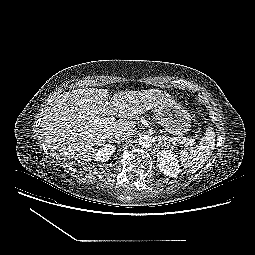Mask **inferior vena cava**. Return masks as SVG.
Listing matches in <instances>:
<instances>
[{"label":"inferior vena cava","mask_w":255,"mask_h":255,"mask_svg":"<svg viewBox=\"0 0 255 255\" xmlns=\"http://www.w3.org/2000/svg\"><path fill=\"white\" fill-rule=\"evenodd\" d=\"M134 130L131 128H125L118 130L115 133V138L119 141L129 140L133 136Z\"/></svg>","instance_id":"602c4592"}]
</instances>
